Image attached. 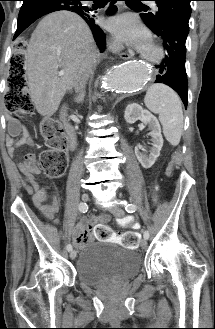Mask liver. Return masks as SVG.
Here are the masks:
<instances>
[{
    "instance_id": "1",
    "label": "liver",
    "mask_w": 215,
    "mask_h": 329,
    "mask_svg": "<svg viewBox=\"0 0 215 329\" xmlns=\"http://www.w3.org/2000/svg\"><path fill=\"white\" fill-rule=\"evenodd\" d=\"M93 51L91 30L77 14L58 11L39 22L27 46L24 69L40 115L50 117L57 111L66 91L74 87L83 60Z\"/></svg>"
}]
</instances>
